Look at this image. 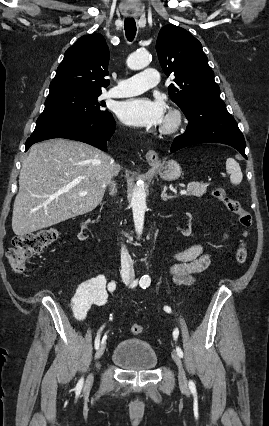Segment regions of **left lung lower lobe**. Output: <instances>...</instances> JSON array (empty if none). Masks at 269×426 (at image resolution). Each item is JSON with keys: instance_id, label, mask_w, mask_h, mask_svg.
Returning a JSON list of instances; mask_svg holds the SVG:
<instances>
[{"instance_id": "0a47b994", "label": "left lung lower lobe", "mask_w": 269, "mask_h": 426, "mask_svg": "<svg viewBox=\"0 0 269 426\" xmlns=\"http://www.w3.org/2000/svg\"><path fill=\"white\" fill-rule=\"evenodd\" d=\"M184 114L189 124L184 134L174 139L171 152L194 144L223 143L234 147L247 159L244 136L224 102L198 103Z\"/></svg>"}]
</instances>
